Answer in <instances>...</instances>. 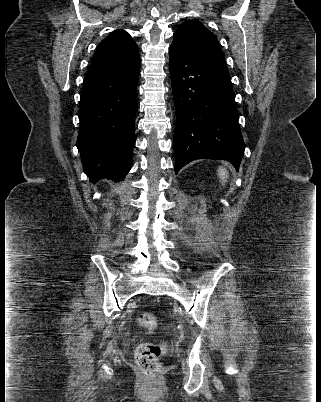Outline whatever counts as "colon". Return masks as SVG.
Returning <instances> with one entry per match:
<instances>
[{
	"mask_svg": "<svg viewBox=\"0 0 321 402\" xmlns=\"http://www.w3.org/2000/svg\"><path fill=\"white\" fill-rule=\"evenodd\" d=\"M139 325L146 330L157 326V317L151 312H143L138 317ZM165 343H140L135 351V361L140 371L148 377L155 376L160 370V358L166 353Z\"/></svg>",
	"mask_w": 321,
	"mask_h": 402,
	"instance_id": "obj_1",
	"label": "colon"
}]
</instances>
